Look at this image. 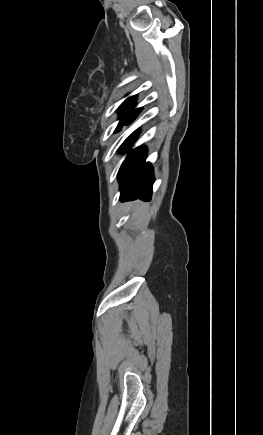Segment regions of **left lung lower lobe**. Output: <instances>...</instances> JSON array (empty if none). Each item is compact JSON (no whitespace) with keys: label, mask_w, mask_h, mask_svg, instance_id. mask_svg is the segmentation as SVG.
Wrapping results in <instances>:
<instances>
[{"label":"left lung lower lobe","mask_w":263,"mask_h":435,"mask_svg":"<svg viewBox=\"0 0 263 435\" xmlns=\"http://www.w3.org/2000/svg\"><path fill=\"white\" fill-rule=\"evenodd\" d=\"M137 136V132L129 136L119 151H128ZM146 148L137 147L131 151L120 167L118 179L120 181V200L127 201L136 198L149 200L154 183L153 169L145 162Z\"/></svg>","instance_id":"obj_1"}]
</instances>
